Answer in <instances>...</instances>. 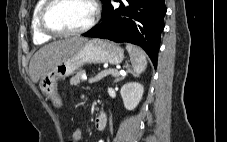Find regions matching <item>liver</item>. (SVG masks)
Returning a JSON list of instances; mask_svg holds the SVG:
<instances>
[{
	"mask_svg": "<svg viewBox=\"0 0 227 142\" xmlns=\"http://www.w3.org/2000/svg\"><path fill=\"white\" fill-rule=\"evenodd\" d=\"M88 39L74 36L57 40L40 48L29 64V75L34 83L46 74L59 60L74 54Z\"/></svg>",
	"mask_w": 227,
	"mask_h": 142,
	"instance_id": "6515ba94",
	"label": "liver"
}]
</instances>
